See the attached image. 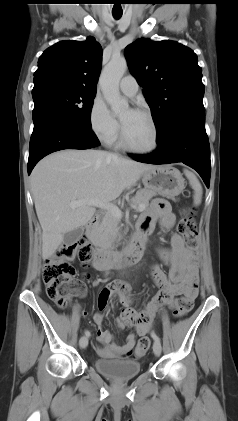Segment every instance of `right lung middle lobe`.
Masks as SVG:
<instances>
[{
  "label": "right lung middle lobe",
  "mask_w": 238,
  "mask_h": 421,
  "mask_svg": "<svg viewBox=\"0 0 238 421\" xmlns=\"http://www.w3.org/2000/svg\"><path fill=\"white\" fill-rule=\"evenodd\" d=\"M95 95L96 91L59 83L34 86L32 90L33 118L43 110H52L82 127L91 129L90 116Z\"/></svg>",
  "instance_id": "1"
}]
</instances>
